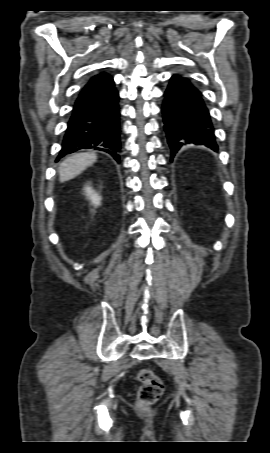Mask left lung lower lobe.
Instances as JSON below:
<instances>
[{"label": "left lung lower lobe", "mask_w": 270, "mask_h": 453, "mask_svg": "<svg viewBox=\"0 0 270 453\" xmlns=\"http://www.w3.org/2000/svg\"><path fill=\"white\" fill-rule=\"evenodd\" d=\"M162 112L171 161L186 144L204 145L218 151L209 110L201 92L189 79L180 75L171 77Z\"/></svg>", "instance_id": "0a47b994"}]
</instances>
